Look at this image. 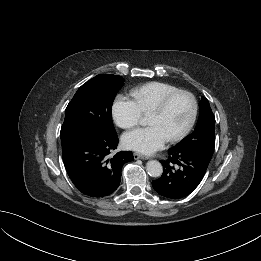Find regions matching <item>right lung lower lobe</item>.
Returning a JSON list of instances; mask_svg holds the SVG:
<instances>
[{
    "instance_id": "98d812e1",
    "label": "right lung lower lobe",
    "mask_w": 261,
    "mask_h": 261,
    "mask_svg": "<svg viewBox=\"0 0 261 261\" xmlns=\"http://www.w3.org/2000/svg\"><path fill=\"white\" fill-rule=\"evenodd\" d=\"M117 134L82 136L62 145L66 171L76 188L90 197L112 194L120 184L122 167L133 161L131 151L110 156Z\"/></svg>"
}]
</instances>
